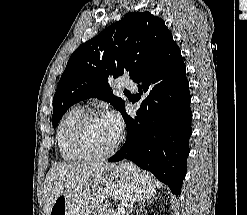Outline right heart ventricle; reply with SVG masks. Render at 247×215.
<instances>
[{
    "mask_svg": "<svg viewBox=\"0 0 247 215\" xmlns=\"http://www.w3.org/2000/svg\"><path fill=\"white\" fill-rule=\"evenodd\" d=\"M83 114L81 108L74 107L61 118L56 130V143L61 158L66 162H79L83 158L75 151L72 144V129Z\"/></svg>",
    "mask_w": 247,
    "mask_h": 215,
    "instance_id": "e07e8e85",
    "label": "right heart ventricle"
}]
</instances>
